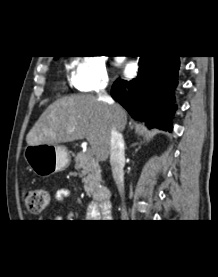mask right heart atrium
Here are the masks:
<instances>
[{
  "instance_id": "1",
  "label": "right heart atrium",
  "mask_w": 218,
  "mask_h": 277,
  "mask_svg": "<svg viewBox=\"0 0 218 277\" xmlns=\"http://www.w3.org/2000/svg\"><path fill=\"white\" fill-rule=\"evenodd\" d=\"M108 81L106 58L96 53L82 55L70 77V85L80 92L100 90Z\"/></svg>"
}]
</instances>
